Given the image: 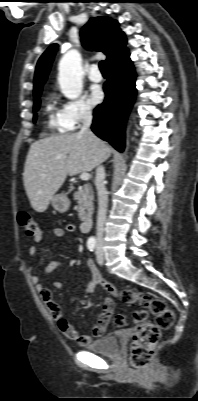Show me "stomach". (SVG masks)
Instances as JSON below:
<instances>
[{
  "mask_svg": "<svg viewBox=\"0 0 198 401\" xmlns=\"http://www.w3.org/2000/svg\"><path fill=\"white\" fill-rule=\"evenodd\" d=\"M51 205L58 212H66L70 207V200L65 193L56 194L51 199Z\"/></svg>",
  "mask_w": 198,
  "mask_h": 401,
  "instance_id": "1",
  "label": "stomach"
}]
</instances>
